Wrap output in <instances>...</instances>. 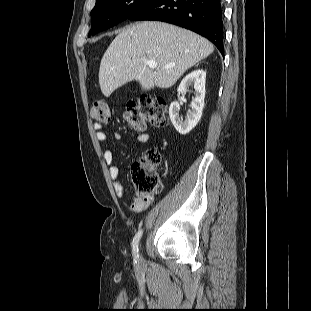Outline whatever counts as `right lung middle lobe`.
I'll return each mask as SVG.
<instances>
[{
	"mask_svg": "<svg viewBox=\"0 0 311 311\" xmlns=\"http://www.w3.org/2000/svg\"><path fill=\"white\" fill-rule=\"evenodd\" d=\"M155 0H97L91 11V30L94 35L124 21Z\"/></svg>",
	"mask_w": 311,
	"mask_h": 311,
	"instance_id": "dd1d6c3e",
	"label": "right lung middle lobe"
}]
</instances>
